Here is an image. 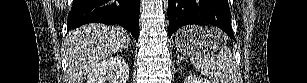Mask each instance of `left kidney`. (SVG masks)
<instances>
[{
  "label": "left kidney",
  "mask_w": 307,
  "mask_h": 83,
  "mask_svg": "<svg viewBox=\"0 0 307 83\" xmlns=\"http://www.w3.org/2000/svg\"><path fill=\"white\" fill-rule=\"evenodd\" d=\"M184 83H214V82L209 81L205 78H200L198 76L190 75L185 78Z\"/></svg>",
  "instance_id": "1"
}]
</instances>
